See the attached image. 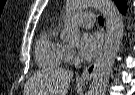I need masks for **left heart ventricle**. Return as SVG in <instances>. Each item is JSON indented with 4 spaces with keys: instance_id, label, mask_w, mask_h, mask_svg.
<instances>
[{
    "instance_id": "1",
    "label": "left heart ventricle",
    "mask_w": 135,
    "mask_h": 95,
    "mask_svg": "<svg viewBox=\"0 0 135 95\" xmlns=\"http://www.w3.org/2000/svg\"><path fill=\"white\" fill-rule=\"evenodd\" d=\"M80 28H85V26L82 25Z\"/></svg>"
}]
</instances>
